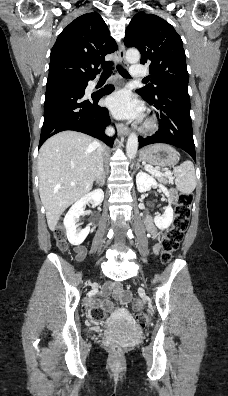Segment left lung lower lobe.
Segmentation results:
<instances>
[{
  "instance_id": "left-lung-lower-lobe-1",
  "label": "left lung lower lobe",
  "mask_w": 228,
  "mask_h": 396,
  "mask_svg": "<svg viewBox=\"0 0 228 396\" xmlns=\"http://www.w3.org/2000/svg\"><path fill=\"white\" fill-rule=\"evenodd\" d=\"M137 92L140 93L138 90ZM141 95L156 108L159 129L152 136L139 137V147L153 143H166L183 149L196 161L187 87H165L152 98Z\"/></svg>"
}]
</instances>
